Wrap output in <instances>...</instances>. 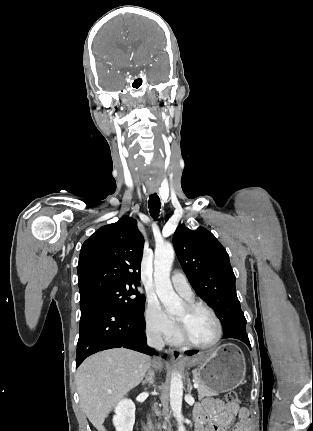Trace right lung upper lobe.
Here are the masks:
<instances>
[{
  "label": "right lung upper lobe",
  "mask_w": 313,
  "mask_h": 431,
  "mask_svg": "<svg viewBox=\"0 0 313 431\" xmlns=\"http://www.w3.org/2000/svg\"><path fill=\"white\" fill-rule=\"evenodd\" d=\"M144 239L133 218L98 229L81 248L78 263L80 297L103 288L140 284Z\"/></svg>",
  "instance_id": "right-lung-upper-lobe-1"
}]
</instances>
